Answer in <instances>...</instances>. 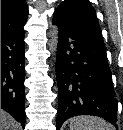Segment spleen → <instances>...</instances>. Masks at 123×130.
Segmentation results:
<instances>
[{"label": "spleen", "instance_id": "3e777b00", "mask_svg": "<svg viewBox=\"0 0 123 130\" xmlns=\"http://www.w3.org/2000/svg\"><path fill=\"white\" fill-rule=\"evenodd\" d=\"M70 130H113V126L100 117L82 115L70 120Z\"/></svg>", "mask_w": 123, "mask_h": 130}]
</instances>
